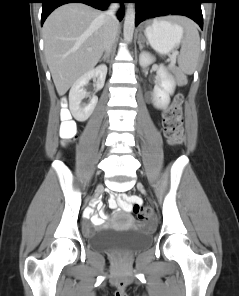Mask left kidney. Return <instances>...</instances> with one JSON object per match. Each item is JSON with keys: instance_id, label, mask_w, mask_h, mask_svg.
<instances>
[{"instance_id": "5707ae66", "label": "left kidney", "mask_w": 239, "mask_h": 296, "mask_svg": "<svg viewBox=\"0 0 239 296\" xmlns=\"http://www.w3.org/2000/svg\"><path fill=\"white\" fill-rule=\"evenodd\" d=\"M155 61V58L148 52H141L139 63L141 67H147ZM158 81L155 85L153 95V105L158 109H164L170 102V96L175 90V81L169 72L160 65L157 70Z\"/></svg>"}]
</instances>
